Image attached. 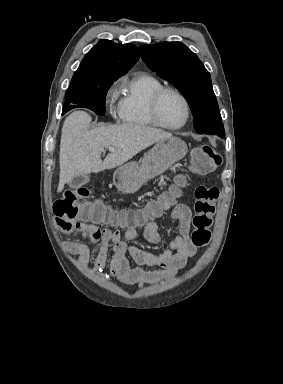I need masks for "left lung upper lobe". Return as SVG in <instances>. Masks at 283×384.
<instances>
[{
    "label": "left lung upper lobe",
    "instance_id": "5c2ea615",
    "mask_svg": "<svg viewBox=\"0 0 283 384\" xmlns=\"http://www.w3.org/2000/svg\"><path fill=\"white\" fill-rule=\"evenodd\" d=\"M140 55L156 74L176 86L189 103L199 134L224 137V127L211 77L203 63L181 42L141 45Z\"/></svg>",
    "mask_w": 283,
    "mask_h": 384
}]
</instances>
